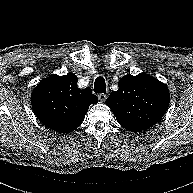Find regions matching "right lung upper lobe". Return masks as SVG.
<instances>
[{"label": "right lung upper lobe", "mask_w": 193, "mask_h": 193, "mask_svg": "<svg viewBox=\"0 0 193 193\" xmlns=\"http://www.w3.org/2000/svg\"><path fill=\"white\" fill-rule=\"evenodd\" d=\"M72 73L44 78L31 93V105L37 119L58 133H70L81 125L88 108L98 102L91 88H77Z\"/></svg>", "instance_id": "right-lung-upper-lobe-1"}]
</instances>
